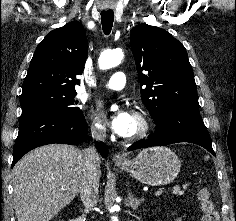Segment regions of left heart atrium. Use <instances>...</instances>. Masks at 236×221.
Listing matches in <instances>:
<instances>
[{"mask_svg": "<svg viewBox=\"0 0 236 221\" xmlns=\"http://www.w3.org/2000/svg\"><path fill=\"white\" fill-rule=\"evenodd\" d=\"M133 115L125 110L121 109L111 116L110 125L115 133L120 136H127L132 125Z\"/></svg>", "mask_w": 236, "mask_h": 221, "instance_id": "obj_1", "label": "left heart atrium"}]
</instances>
